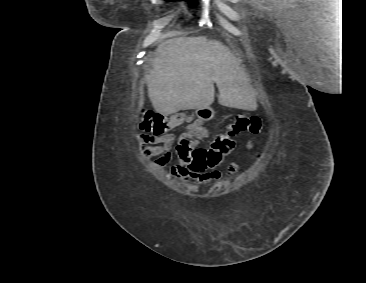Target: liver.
Wrapping results in <instances>:
<instances>
[{"instance_id":"1","label":"liver","mask_w":366,"mask_h":283,"mask_svg":"<svg viewBox=\"0 0 366 283\" xmlns=\"http://www.w3.org/2000/svg\"><path fill=\"white\" fill-rule=\"evenodd\" d=\"M146 76L154 109L168 116L180 110L209 107L214 82L223 106L254 111L255 91L247 74L223 43L205 36L180 37L161 44Z\"/></svg>"}]
</instances>
